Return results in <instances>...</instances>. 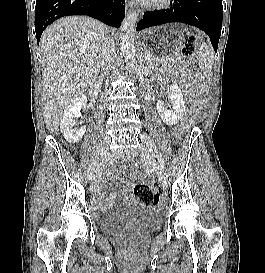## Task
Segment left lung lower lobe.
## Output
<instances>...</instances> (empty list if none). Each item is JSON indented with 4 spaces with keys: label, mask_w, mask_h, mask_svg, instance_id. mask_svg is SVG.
I'll return each mask as SVG.
<instances>
[{
    "label": "left lung lower lobe",
    "mask_w": 265,
    "mask_h": 273,
    "mask_svg": "<svg viewBox=\"0 0 265 273\" xmlns=\"http://www.w3.org/2000/svg\"><path fill=\"white\" fill-rule=\"evenodd\" d=\"M223 17L222 0H174L166 11L146 12L136 30L170 22H182L202 29L217 51Z\"/></svg>",
    "instance_id": "left-lung-lower-lobe-1"
}]
</instances>
